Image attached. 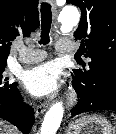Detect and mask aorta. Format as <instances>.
<instances>
[{
	"instance_id": "762f6f07",
	"label": "aorta",
	"mask_w": 116,
	"mask_h": 134,
	"mask_svg": "<svg viewBox=\"0 0 116 134\" xmlns=\"http://www.w3.org/2000/svg\"><path fill=\"white\" fill-rule=\"evenodd\" d=\"M79 12L73 6L65 7L60 15L62 27L70 28L79 21ZM64 108L62 102L53 104L47 111L43 123L41 125L40 134H56L62 118Z\"/></svg>"
}]
</instances>
